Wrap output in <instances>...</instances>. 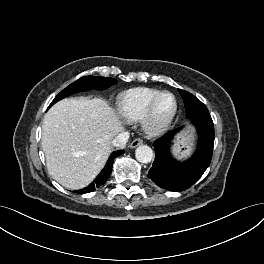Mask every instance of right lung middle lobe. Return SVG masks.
I'll return each mask as SVG.
<instances>
[{
  "instance_id": "obj_1",
  "label": "right lung middle lobe",
  "mask_w": 264,
  "mask_h": 264,
  "mask_svg": "<svg viewBox=\"0 0 264 264\" xmlns=\"http://www.w3.org/2000/svg\"><path fill=\"white\" fill-rule=\"evenodd\" d=\"M116 79L108 77H97V76H84L77 81L70 84L64 90H62L52 101L50 106H52L57 101L77 92L88 91L91 89L104 90L114 84H116ZM49 106V107H50Z\"/></svg>"
}]
</instances>
